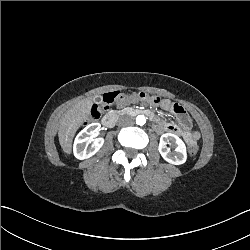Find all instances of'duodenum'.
<instances>
[{"instance_id":"410a0bca","label":"duodenum","mask_w":250,"mask_h":250,"mask_svg":"<svg viewBox=\"0 0 250 250\" xmlns=\"http://www.w3.org/2000/svg\"><path fill=\"white\" fill-rule=\"evenodd\" d=\"M131 113L133 115H141V114H145L147 115L146 111L144 109H134L131 111ZM115 116H116V113L115 112H109L107 113L103 120H102V124L104 127L106 128H111L113 127L114 123H115Z\"/></svg>"}]
</instances>
